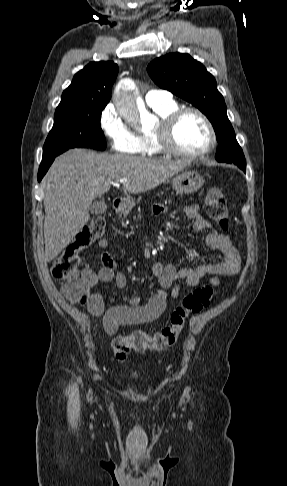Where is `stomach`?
I'll return each mask as SVG.
<instances>
[{
	"label": "stomach",
	"instance_id": "stomach-1",
	"mask_svg": "<svg viewBox=\"0 0 287 486\" xmlns=\"http://www.w3.org/2000/svg\"><path fill=\"white\" fill-rule=\"evenodd\" d=\"M203 177L196 171H184L172 179V187L178 194H192L204 185ZM135 206L131 199H125L122 212L128 214Z\"/></svg>",
	"mask_w": 287,
	"mask_h": 486
}]
</instances>
